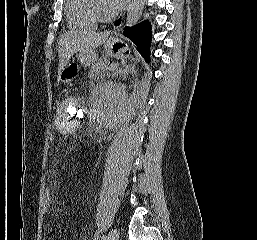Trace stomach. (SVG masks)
Returning a JSON list of instances; mask_svg holds the SVG:
<instances>
[{
    "label": "stomach",
    "mask_w": 257,
    "mask_h": 240,
    "mask_svg": "<svg viewBox=\"0 0 257 240\" xmlns=\"http://www.w3.org/2000/svg\"><path fill=\"white\" fill-rule=\"evenodd\" d=\"M105 47L107 53L116 58L122 57L128 49L126 43L115 37H110L107 39ZM78 60L83 67H88L96 60V53L94 50L80 51L78 54Z\"/></svg>",
    "instance_id": "stomach-1"
}]
</instances>
